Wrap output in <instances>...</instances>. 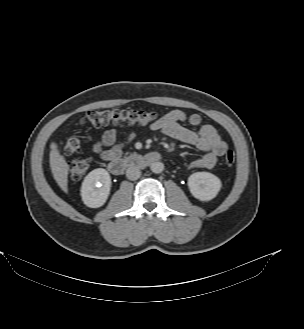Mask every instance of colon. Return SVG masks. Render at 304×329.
I'll return each instance as SVG.
<instances>
[{
  "label": "colon",
  "mask_w": 304,
  "mask_h": 329,
  "mask_svg": "<svg viewBox=\"0 0 304 329\" xmlns=\"http://www.w3.org/2000/svg\"><path fill=\"white\" fill-rule=\"evenodd\" d=\"M158 119L155 112L126 110V109H102L89 111L82 119V124H89L94 127H104L108 125H152ZM82 142L78 137H69L64 145L66 154H75L81 150ZM235 153L227 150L225 153V163L233 165ZM91 159L80 158L70 164V177L73 180L81 179L90 169Z\"/></svg>",
  "instance_id": "obj_1"
}]
</instances>
